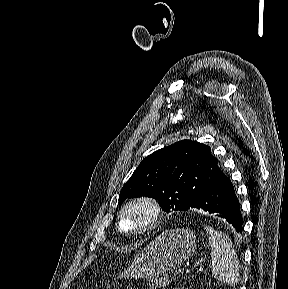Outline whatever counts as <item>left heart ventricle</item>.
I'll return each mask as SVG.
<instances>
[{
  "mask_svg": "<svg viewBox=\"0 0 288 289\" xmlns=\"http://www.w3.org/2000/svg\"><path fill=\"white\" fill-rule=\"evenodd\" d=\"M148 214L144 208L134 207L126 211L122 217L121 226L130 231L139 228L147 220Z\"/></svg>",
  "mask_w": 288,
  "mask_h": 289,
  "instance_id": "1",
  "label": "left heart ventricle"
}]
</instances>
